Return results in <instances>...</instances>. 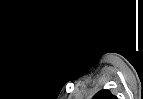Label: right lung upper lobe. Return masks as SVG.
I'll use <instances>...</instances> for the list:
<instances>
[{"mask_svg":"<svg viewBox=\"0 0 143 99\" xmlns=\"http://www.w3.org/2000/svg\"><path fill=\"white\" fill-rule=\"evenodd\" d=\"M93 99H117L109 90H101L94 95Z\"/></svg>","mask_w":143,"mask_h":99,"instance_id":"obj_1","label":"right lung upper lobe"}]
</instances>
